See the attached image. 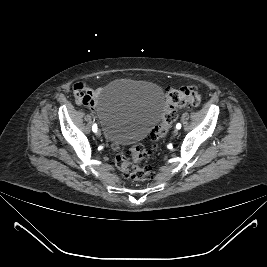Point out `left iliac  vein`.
<instances>
[{"instance_id": "left-iliac-vein-1", "label": "left iliac vein", "mask_w": 267, "mask_h": 267, "mask_svg": "<svg viewBox=\"0 0 267 267\" xmlns=\"http://www.w3.org/2000/svg\"><path fill=\"white\" fill-rule=\"evenodd\" d=\"M178 133H179V130H178V129H175V130L173 131V135H174V136L178 135Z\"/></svg>"}]
</instances>
